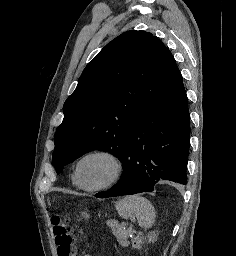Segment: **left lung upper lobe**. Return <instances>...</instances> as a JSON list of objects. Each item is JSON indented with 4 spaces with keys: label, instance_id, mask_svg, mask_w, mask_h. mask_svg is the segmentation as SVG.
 Here are the masks:
<instances>
[{
    "label": "left lung upper lobe",
    "instance_id": "5c2ea615",
    "mask_svg": "<svg viewBox=\"0 0 236 256\" xmlns=\"http://www.w3.org/2000/svg\"><path fill=\"white\" fill-rule=\"evenodd\" d=\"M182 82L170 51L145 31H127L85 67L63 106L52 163L63 166L86 152L103 150L123 159L140 117Z\"/></svg>",
    "mask_w": 236,
    "mask_h": 256
}]
</instances>
